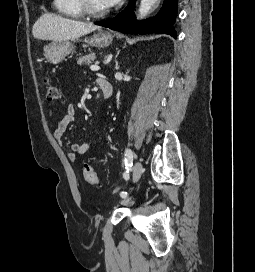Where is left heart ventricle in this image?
I'll list each match as a JSON object with an SVG mask.
<instances>
[{
	"label": "left heart ventricle",
	"instance_id": "left-heart-ventricle-1",
	"mask_svg": "<svg viewBox=\"0 0 255 272\" xmlns=\"http://www.w3.org/2000/svg\"><path fill=\"white\" fill-rule=\"evenodd\" d=\"M91 6L96 11H104L107 9L103 0H90Z\"/></svg>",
	"mask_w": 255,
	"mask_h": 272
}]
</instances>
